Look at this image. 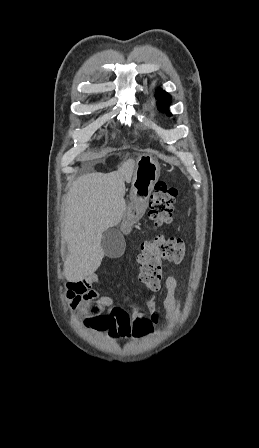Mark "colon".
Masks as SVG:
<instances>
[{"label": "colon", "instance_id": "5ec220e1", "mask_svg": "<svg viewBox=\"0 0 259 448\" xmlns=\"http://www.w3.org/2000/svg\"><path fill=\"white\" fill-rule=\"evenodd\" d=\"M176 196L177 190L174 187H170L164 182L155 185L150 200L149 217L156 226L171 222ZM185 250V242L180 238L158 236L143 243L137 257L141 283L149 291L158 290L163 277L164 264L182 262Z\"/></svg>", "mask_w": 259, "mask_h": 448}]
</instances>
